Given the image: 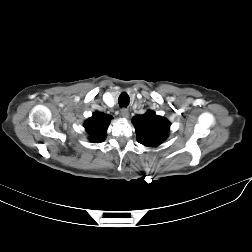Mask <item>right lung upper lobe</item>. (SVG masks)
Instances as JSON below:
<instances>
[{
    "label": "right lung upper lobe",
    "mask_w": 252,
    "mask_h": 252,
    "mask_svg": "<svg viewBox=\"0 0 252 252\" xmlns=\"http://www.w3.org/2000/svg\"><path fill=\"white\" fill-rule=\"evenodd\" d=\"M110 120L111 116H108L102 112H96L85 122L84 127L87 133L90 135L91 141H104Z\"/></svg>",
    "instance_id": "right-lung-upper-lobe-1"
}]
</instances>
